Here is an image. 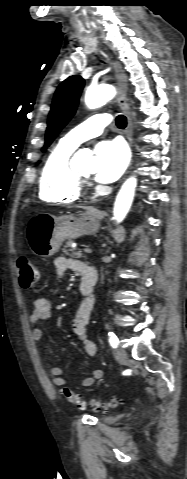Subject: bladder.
Listing matches in <instances>:
<instances>
[{
  "mask_svg": "<svg viewBox=\"0 0 187 479\" xmlns=\"http://www.w3.org/2000/svg\"><path fill=\"white\" fill-rule=\"evenodd\" d=\"M103 420H104L105 422H112V420H111V419H108V418H104Z\"/></svg>",
  "mask_w": 187,
  "mask_h": 479,
  "instance_id": "1",
  "label": "bladder"
}]
</instances>
